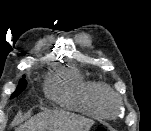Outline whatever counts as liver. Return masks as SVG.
<instances>
[{
	"label": "liver",
	"instance_id": "obj_1",
	"mask_svg": "<svg viewBox=\"0 0 151 131\" xmlns=\"http://www.w3.org/2000/svg\"><path fill=\"white\" fill-rule=\"evenodd\" d=\"M92 119L65 111L38 114L15 131H89Z\"/></svg>",
	"mask_w": 151,
	"mask_h": 131
}]
</instances>
